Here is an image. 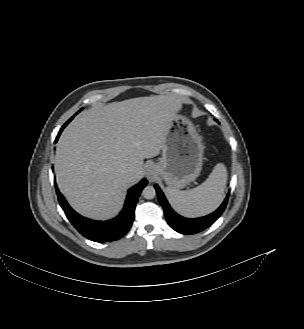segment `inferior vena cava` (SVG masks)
Returning <instances> with one entry per match:
<instances>
[{
  "mask_svg": "<svg viewBox=\"0 0 304 329\" xmlns=\"http://www.w3.org/2000/svg\"><path fill=\"white\" fill-rule=\"evenodd\" d=\"M120 173H121L122 177L126 179L130 175L131 170L127 167H123L120 169Z\"/></svg>",
  "mask_w": 304,
  "mask_h": 329,
  "instance_id": "1",
  "label": "inferior vena cava"
}]
</instances>
